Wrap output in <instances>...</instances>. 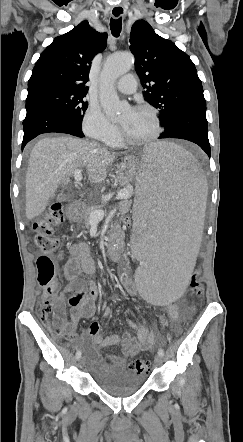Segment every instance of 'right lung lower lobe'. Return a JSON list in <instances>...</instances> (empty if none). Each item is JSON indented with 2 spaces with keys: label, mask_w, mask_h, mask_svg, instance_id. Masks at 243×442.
Wrapping results in <instances>:
<instances>
[{
  "label": "right lung lower lobe",
  "mask_w": 243,
  "mask_h": 442,
  "mask_svg": "<svg viewBox=\"0 0 243 442\" xmlns=\"http://www.w3.org/2000/svg\"><path fill=\"white\" fill-rule=\"evenodd\" d=\"M26 117L23 121L24 137L22 150L36 136L49 133H67L84 137L81 125L77 124L62 108L46 101L26 103Z\"/></svg>",
  "instance_id": "obj_1"
}]
</instances>
